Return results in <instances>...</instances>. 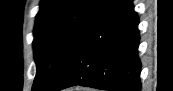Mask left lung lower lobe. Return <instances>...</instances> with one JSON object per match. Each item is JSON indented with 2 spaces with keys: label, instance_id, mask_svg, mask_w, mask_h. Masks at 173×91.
I'll return each instance as SVG.
<instances>
[{
  "label": "left lung lower lobe",
  "instance_id": "obj_1",
  "mask_svg": "<svg viewBox=\"0 0 173 91\" xmlns=\"http://www.w3.org/2000/svg\"><path fill=\"white\" fill-rule=\"evenodd\" d=\"M139 18L131 0H114L75 51L50 91L81 85L140 91Z\"/></svg>",
  "mask_w": 173,
  "mask_h": 91
}]
</instances>
